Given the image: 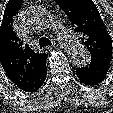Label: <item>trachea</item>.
Here are the masks:
<instances>
[{"label":"trachea","mask_w":113,"mask_h":113,"mask_svg":"<svg viewBox=\"0 0 113 113\" xmlns=\"http://www.w3.org/2000/svg\"><path fill=\"white\" fill-rule=\"evenodd\" d=\"M51 45H52V43H51V41L48 38L41 37L39 39V46H40V48H43L44 46H51Z\"/></svg>","instance_id":"1"}]
</instances>
